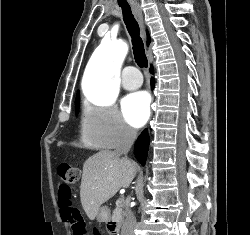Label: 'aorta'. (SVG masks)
<instances>
[{"label":"aorta","instance_id":"aorta-1","mask_svg":"<svg viewBox=\"0 0 250 235\" xmlns=\"http://www.w3.org/2000/svg\"><path fill=\"white\" fill-rule=\"evenodd\" d=\"M128 47L119 42L111 45L103 41L93 53L87 67L84 93L91 101L109 105L118 95L119 64L127 54Z\"/></svg>","mask_w":250,"mask_h":235}]
</instances>
